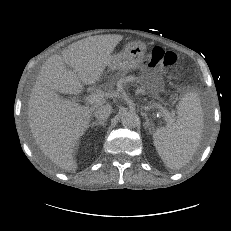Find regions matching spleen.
I'll use <instances>...</instances> for the list:
<instances>
[{"instance_id":"obj_1","label":"spleen","mask_w":231,"mask_h":231,"mask_svg":"<svg viewBox=\"0 0 231 231\" xmlns=\"http://www.w3.org/2000/svg\"><path fill=\"white\" fill-rule=\"evenodd\" d=\"M203 113L195 93L185 94L178 104L177 118L153 134L154 146L166 167L180 169L194 156L203 134Z\"/></svg>"}]
</instances>
